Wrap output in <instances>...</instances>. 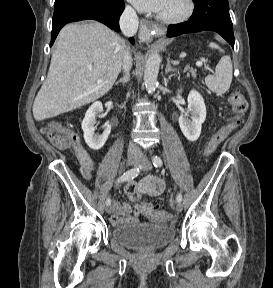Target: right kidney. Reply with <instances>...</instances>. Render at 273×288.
I'll return each instance as SVG.
<instances>
[{
    "instance_id": "1",
    "label": "right kidney",
    "mask_w": 273,
    "mask_h": 288,
    "mask_svg": "<svg viewBox=\"0 0 273 288\" xmlns=\"http://www.w3.org/2000/svg\"><path fill=\"white\" fill-rule=\"evenodd\" d=\"M103 111L102 103L94 102L85 113L82 121V130L84 132V140L86 144L93 150L101 149L108 139L111 131V125L106 124L105 129L101 135L95 134L96 116Z\"/></svg>"
}]
</instances>
